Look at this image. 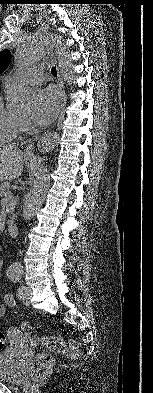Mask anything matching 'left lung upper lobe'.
<instances>
[{
  "label": "left lung upper lobe",
  "instance_id": "5c2ea615",
  "mask_svg": "<svg viewBox=\"0 0 153 393\" xmlns=\"http://www.w3.org/2000/svg\"><path fill=\"white\" fill-rule=\"evenodd\" d=\"M11 54L9 50H3L0 52V74L7 68L10 62Z\"/></svg>",
  "mask_w": 153,
  "mask_h": 393
}]
</instances>
